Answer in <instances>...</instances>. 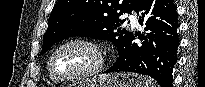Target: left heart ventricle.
<instances>
[{
  "instance_id": "left-heart-ventricle-1",
  "label": "left heart ventricle",
  "mask_w": 205,
  "mask_h": 87,
  "mask_svg": "<svg viewBox=\"0 0 205 87\" xmlns=\"http://www.w3.org/2000/svg\"><path fill=\"white\" fill-rule=\"evenodd\" d=\"M96 61L94 52L83 45H70L56 55L54 72L60 77L76 75L89 70Z\"/></svg>"
}]
</instances>
